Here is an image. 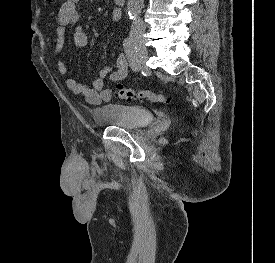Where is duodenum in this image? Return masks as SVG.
I'll return each instance as SVG.
<instances>
[{
	"instance_id": "duodenum-1",
	"label": "duodenum",
	"mask_w": 275,
	"mask_h": 263,
	"mask_svg": "<svg viewBox=\"0 0 275 263\" xmlns=\"http://www.w3.org/2000/svg\"><path fill=\"white\" fill-rule=\"evenodd\" d=\"M114 1L118 6H124L126 3V0H114Z\"/></svg>"
}]
</instances>
